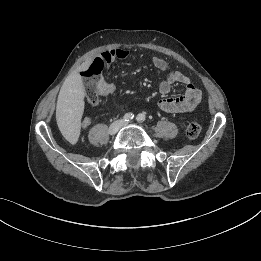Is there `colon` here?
Listing matches in <instances>:
<instances>
[{
  "label": "colon",
  "instance_id": "5ec220e1",
  "mask_svg": "<svg viewBox=\"0 0 261 261\" xmlns=\"http://www.w3.org/2000/svg\"><path fill=\"white\" fill-rule=\"evenodd\" d=\"M104 68V63L95 59L90 67L83 72L85 77V93L86 101L89 105L94 106L98 103L101 96L102 79L101 72ZM201 132V125L198 122H191L186 128V134L189 138H196Z\"/></svg>",
  "mask_w": 261,
  "mask_h": 261
}]
</instances>
